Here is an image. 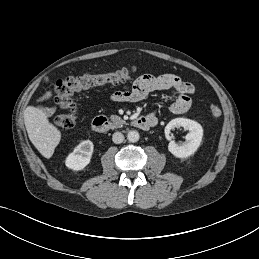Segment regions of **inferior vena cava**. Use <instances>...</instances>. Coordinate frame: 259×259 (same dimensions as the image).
<instances>
[{"mask_svg": "<svg viewBox=\"0 0 259 259\" xmlns=\"http://www.w3.org/2000/svg\"><path fill=\"white\" fill-rule=\"evenodd\" d=\"M112 140L116 144L122 143L124 140V135L121 132H115L112 136Z\"/></svg>", "mask_w": 259, "mask_h": 259, "instance_id": "602c4592", "label": "inferior vena cava"}]
</instances>
